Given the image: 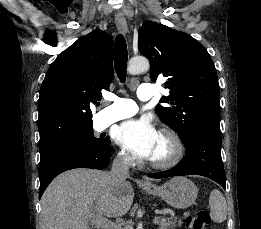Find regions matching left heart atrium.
Masks as SVG:
<instances>
[{"label": "left heart atrium", "instance_id": "1", "mask_svg": "<svg viewBox=\"0 0 261 229\" xmlns=\"http://www.w3.org/2000/svg\"><path fill=\"white\" fill-rule=\"evenodd\" d=\"M159 133L147 120H129L116 131L118 143L128 147L137 157L151 159L156 149Z\"/></svg>", "mask_w": 261, "mask_h": 229}]
</instances>
